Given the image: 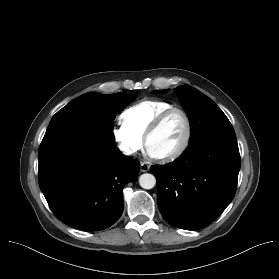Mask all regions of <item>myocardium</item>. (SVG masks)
I'll use <instances>...</instances> for the list:
<instances>
[{
    "label": "myocardium",
    "mask_w": 279,
    "mask_h": 279,
    "mask_svg": "<svg viewBox=\"0 0 279 279\" xmlns=\"http://www.w3.org/2000/svg\"><path fill=\"white\" fill-rule=\"evenodd\" d=\"M174 112L180 113L182 115V117L184 118L185 125H186V131H185L184 139H183L182 143L178 146V148H176L174 151H172L168 154L156 156L157 159H159L161 161H165V162L171 161V160H174V159L180 157L187 150V148L191 142L193 126H192L191 118H190L189 114L187 113V111L184 110L183 108L176 107V106L165 109L153 120V122L148 127V129L145 133V136H144L145 146L147 149H149L148 142H149L150 137L160 128V126L165 121V119Z\"/></svg>",
    "instance_id": "1"
}]
</instances>
